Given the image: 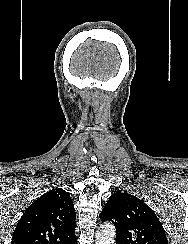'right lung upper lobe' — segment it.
I'll return each mask as SVG.
<instances>
[{
    "instance_id": "right-lung-upper-lobe-1",
    "label": "right lung upper lobe",
    "mask_w": 188,
    "mask_h": 244,
    "mask_svg": "<svg viewBox=\"0 0 188 244\" xmlns=\"http://www.w3.org/2000/svg\"><path fill=\"white\" fill-rule=\"evenodd\" d=\"M75 220L69 193L52 189L26 209L11 244H72L77 240Z\"/></svg>"
}]
</instances>
